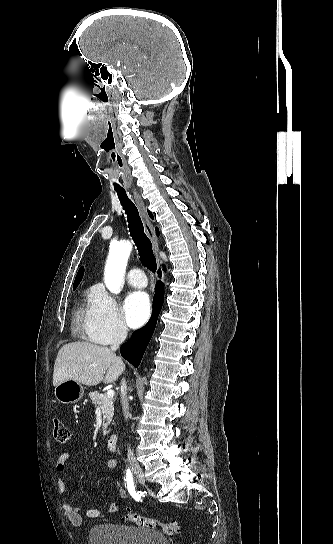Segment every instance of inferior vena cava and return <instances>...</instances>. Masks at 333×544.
Wrapping results in <instances>:
<instances>
[{
    "label": "inferior vena cava",
    "mask_w": 333,
    "mask_h": 544,
    "mask_svg": "<svg viewBox=\"0 0 333 544\" xmlns=\"http://www.w3.org/2000/svg\"><path fill=\"white\" fill-rule=\"evenodd\" d=\"M127 336V329L125 327H120L116 334L114 335L112 344H111V350L114 352L118 349L119 345L126 339ZM121 403H122V410L125 417V420L129 417V402L127 398V392H126V382L124 379L121 381ZM128 461L132 468H139V464L134 456L133 451L130 447H128Z\"/></svg>",
    "instance_id": "602c4592"
}]
</instances>
